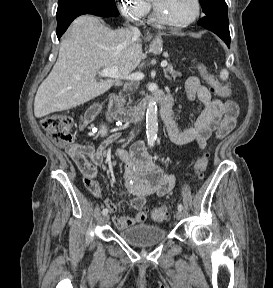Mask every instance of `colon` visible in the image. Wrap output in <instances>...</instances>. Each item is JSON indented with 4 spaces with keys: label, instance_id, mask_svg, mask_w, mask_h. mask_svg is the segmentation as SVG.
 Returning a JSON list of instances; mask_svg holds the SVG:
<instances>
[{
    "label": "colon",
    "instance_id": "1",
    "mask_svg": "<svg viewBox=\"0 0 273 288\" xmlns=\"http://www.w3.org/2000/svg\"><path fill=\"white\" fill-rule=\"evenodd\" d=\"M199 70L205 80L211 86L212 91L220 97H230L232 90L221 84L212 74L199 65ZM72 119L64 114H52L44 117L41 121L42 128L50 140L58 147H69L73 142ZM209 162V152L204 153L194 163V174L197 179H202ZM170 210L167 206L154 208L151 216L156 222H163L168 219Z\"/></svg>",
    "mask_w": 273,
    "mask_h": 288
}]
</instances>
